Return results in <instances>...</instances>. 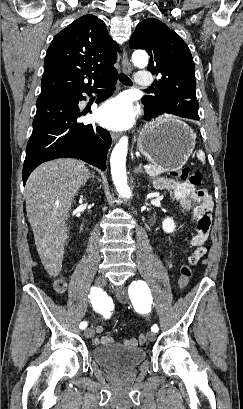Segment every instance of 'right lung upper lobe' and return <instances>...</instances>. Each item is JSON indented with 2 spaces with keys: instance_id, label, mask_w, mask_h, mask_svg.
<instances>
[{
  "instance_id": "obj_1",
  "label": "right lung upper lobe",
  "mask_w": 243,
  "mask_h": 409,
  "mask_svg": "<svg viewBox=\"0 0 243 409\" xmlns=\"http://www.w3.org/2000/svg\"><path fill=\"white\" fill-rule=\"evenodd\" d=\"M117 51L119 47L101 19L84 15L75 20L54 37L47 50L39 98L77 93L101 85L117 75L113 67Z\"/></svg>"
}]
</instances>
